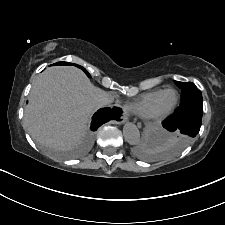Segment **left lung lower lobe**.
<instances>
[{
	"label": "left lung lower lobe",
	"mask_w": 225,
	"mask_h": 225,
	"mask_svg": "<svg viewBox=\"0 0 225 225\" xmlns=\"http://www.w3.org/2000/svg\"><path fill=\"white\" fill-rule=\"evenodd\" d=\"M203 105H192L177 109L163 121L162 125L170 132H177L188 138H194L201 127Z\"/></svg>",
	"instance_id": "obj_1"
}]
</instances>
